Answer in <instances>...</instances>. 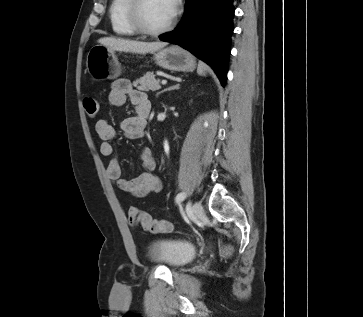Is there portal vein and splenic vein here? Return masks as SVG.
Listing matches in <instances>:
<instances>
[{"label": "portal vein and splenic vein", "instance_id": "portal-vein-and-splenic-vein-1", "mask_svg": "<svg viewBox=\"0 0 363 317\" xmlns=\"http://www.w3.org/2000/svg\"><path fill=\"white\" fill-rule=\"evenodd\" d=\"M161 84L162 85H166L167 84V81L166 80H162Z\"/></svg>", "mask_w": 363, "mask_h": 317}]
</instances>
